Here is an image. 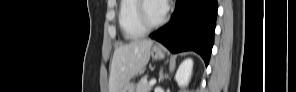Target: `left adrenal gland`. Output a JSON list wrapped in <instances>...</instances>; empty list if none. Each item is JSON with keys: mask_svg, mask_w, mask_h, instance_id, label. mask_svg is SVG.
I'll use <instances>...</instances> for the list:
<instances>
[{"mask_svg": "<svg viewBox=\"0 0 296 92\" xmlns=\"http://www.w3.org/2000/svg\"><path fill=\"white\" fill-rule=\"evenodd\" d=\"M163 79H164V76H163V75H161V76H160V80H161V81H163Z\"/></svg>", "mask_w": 296, "mask_h": 92, "instance_id": "obj_1", "label": "left adrenal gland"}]
</instances>
